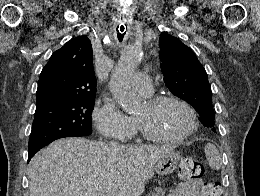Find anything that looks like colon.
Segmentation results:
<instances>
[{
    "mask_svg": "<svg viewBox=\"0 0 260 196\" xmlns=\"http://www.w3.org/2000/svg\"><path fill=\"white\" fill-rule=\"evenodd\" d=\"M178 176L182 182L200 183L204 179V167L201 163L195 160L182 159L179 162Z\"/></svg>",
    "mask_w": 260,
    "mask_h": 196,
    "instance_id": "obj_1",
    "label": "colon"
}]
</instances>
